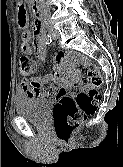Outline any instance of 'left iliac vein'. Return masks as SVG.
I'll list each match as a JSON object with an SVG mask.
<instances>
[{
    "label": "left iliac vein",
    "instance_id": "obj_1",
    "mask_svg": "<svg viewBox=\"0 0 123 167\" xmlns=\"http://www.w3.org/2000/svg\"><path fill=\"white\" fill-rule=\"evenodd\" d=\"M52 37H53V39H58V34L56 32H53Z\"/></svg>",
    "mask_w": 123,
    "mask_h": 167
}]
</instances>
